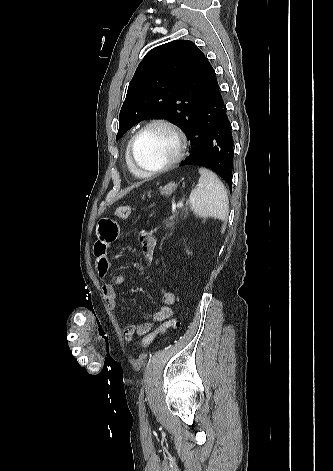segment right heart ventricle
Masks as SVG:
<instances>
[{"mask_svg": "<svg viewBox=\"0 0 333 471\" xmlns=\"http://www.w3.org/2000/svg\"><path fill=\"white\" fill-rule=\"evenodd\" d=\"M128 147L129 145L127 146V150H126V163H127V167L128 169L136 176L138 177H146L144 175H142L140 172H138L131 164L130 160H129V156H128Z\"/></svg>", "mask_w": 333, "mask_h": 471, "instance_id": "e07e8e85", "label": "right heart ventricle"}]
</instances>
